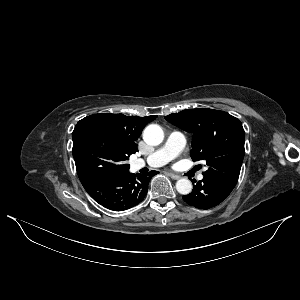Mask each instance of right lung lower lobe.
Returning <instances> with one entry per match:
<instances>
[{
    "label": "right lung lower lobe",
    "mask_w": 300,
    "mask_h": 300,
    "mask_svg": "<svg viewBox=\"0 0 300 300\" xmlns=\"http://www.w3.org/2000/svg\"><path fill=\"white\" fill-rule=\"evenodd\" d=\"M157 171L134 175L103 176L81 182L88 194L103 207L122 211L138 205L146 196L148 184Z\"/></svg>",
    "instance_id": "1"
}]
</instances>
